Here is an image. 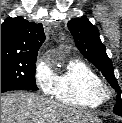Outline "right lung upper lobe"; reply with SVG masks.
Masks as SVG:
<instances>
[{
	"mask_svg": "<svg viewBox=\"0 0 122 123\" xmlns=\"http://www.w3.org/2000/svg\"><path fill=\"white\" fill-rule=\"evenodd\" d=\"M44 40L41 23L9 17L1 24V54L37 56Z\"/></svg>",
	"mask_w": 122,
	"mask_h": 123,
	"instance_id": "right-lung-upper-lobe-1",
	"label": "right lung upper lobe"
}]
</instances>
